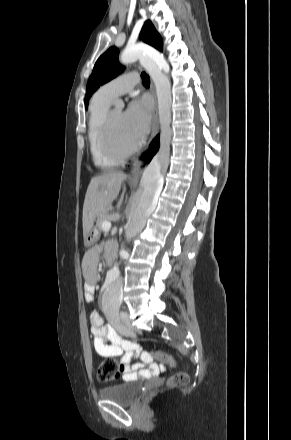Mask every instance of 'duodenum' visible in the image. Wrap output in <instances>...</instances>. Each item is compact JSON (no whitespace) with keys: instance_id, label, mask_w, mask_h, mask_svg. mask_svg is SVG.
Masks as SVG:
<instances>
[{"instance_id":"duodenum-1","label":"duodenum","mask_w":291,"mask_h":440,"mask_svg":"<svg viewBox=\"0 0 291 440\" xmlns=\"http://www.w3.org/2000/svg\"><path fill=\"white\" fill-rule=\"evenodd\" d=\"M105 258H106L109 266L112 267L115 263V260H116L115 250L114 249L109 250L106 253Z\"/></svg>"}]
</instances>
